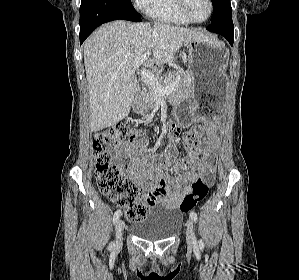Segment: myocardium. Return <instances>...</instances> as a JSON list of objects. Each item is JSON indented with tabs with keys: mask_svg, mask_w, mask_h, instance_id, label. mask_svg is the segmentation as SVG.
Returning a JSON list of instances; mask_svg holds the SVG:
<instances>
[{
	"mask_svg": "<svg viewBox=\"0 0 299 280\" xmlns=\"http://www.w3.org/2000/svg\"><path fill=\"white\" fill-rule=\"evenodd\" d=\"M176 3H177V7H178V10L180 11V13L191 23H194V24H203L205 22H207L211 16H212V13H213V3H212V0H207V3L209 5V12H208V15L207 17L204 19V20H195L189 13L188 11V8H187V3H188V0H176Z\"/></svg>",
	"mask_w": 299,
	"mask_h": 280,
	"instance_id": "obj_1",
	"label": "myocardium"
}]
</instances>
